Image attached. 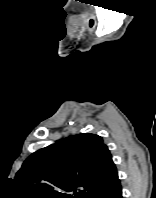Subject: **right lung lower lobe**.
I'll return each instance as SVG.
<instances>
[{
	"label": "right lung lower lobe",
	"instance_id": "obj_1",
	"mask_svg": "<svg viewBox=\"0 0 156 198\" xmlns=\"http://www.w3.org/2000/svg\"><path fill=\"white\" fill-rule=\"evenodd\" d=\"M107 198H123L121 186L115 189Z\"/></svg>",
	"mask_w": 156,
	"mask_h": 198
}]
</instances>
